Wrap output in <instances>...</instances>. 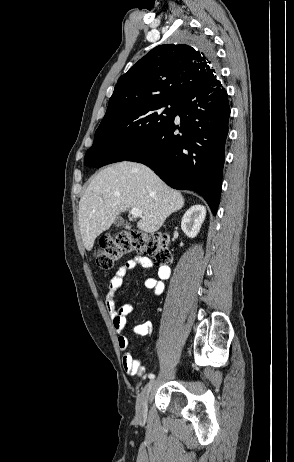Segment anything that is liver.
<instances>
[{
  "mask_svg": "<svg viewBox=\"0 0 294 462\" xmlns=\"http://www.w3.org/2000/svg\"><path fill=\"white\" fill-rule=\"evenodd\" d=\"M184 203L179 191L145 165L127 161L112 164L92 179L80 199L78 220L84 247L91 251L97 236L128 208L141 210L137 227L154 233Z\"/></svg>",
  "mask_w": 294,
  "mask_h": 462,
  "instance_id": "obj_1",
  "label": "liver"
}]
</instances>
